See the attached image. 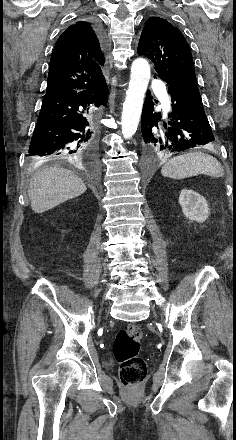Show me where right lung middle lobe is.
<instances>
[{
	"label": "right lung middle lobe",
	"instance_id": "1",
	"mask_svg": "<svg viewBox=\"0 0 236 440\" xmlns=\"http://www.w3.org/2000/svg\"><path fill=\"white\" fill-rule=\"evenodd\" d=\"M31 162H32V163H36V160H33V159H32Z\"/></svg>",
	"mask_w": 236,
	"mask_h": 440
}]
</instances>
